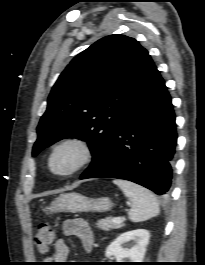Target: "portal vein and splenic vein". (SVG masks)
<instances>
[{"mask_svg": "<svg viewBox=\"0 0 205 265\" xmlns=\"http://www.w3.org/2000/svg\"><path fill=\"white\" fill-rule=\"evenodd\" d=\"M112 221H113L114 223H122V222H123V218H121V217H114V218L112 219Z\"/></svg>", "mask_w": 205, "mask_h": 265, "instance_id": "portal-vein-and-splenic-vein-1", "label": "portal vein and splenic vein"}]
</instances>
